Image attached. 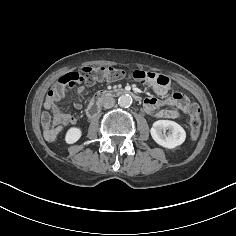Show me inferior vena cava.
<instances>
[{
  "instance_id": "obj_1",
  "label": "inferior vena cava",
  "mask_w": 236,
  "mask_h": 236,
  "mask_svg": "<svg viewBox=\"0 0 236 236\" xmlns=\"http://www.w3.org/2000/svg\"><path fill=\"white\" fill-rule=\"evenodd\" d=\"M102 104L106 109L112 108L115 104V99L113 97H106L104 98Z\"/></svg>"
}]
</instances>
